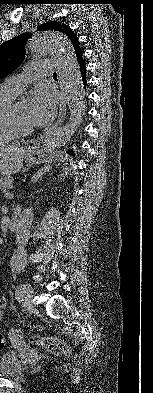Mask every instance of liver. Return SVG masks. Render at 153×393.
Segmentation results:
<instances>
[{
	"mask_svg": "<svg viewBox=\"0 0 153 393\" xmlns=\"http://www.w3.org/2000/svg\"><path fill=\"white\" fill-rule=\"evenodd\" d=\"M24 154L25 147L18 145L1 146L0 174L8 176L19 172L23 167Z\"/></svg>",
	"mask_w": 153,
	"mask_h": 393,
	"instance_id": "obj_1",
	"label": "liver"
}]
</instances>
